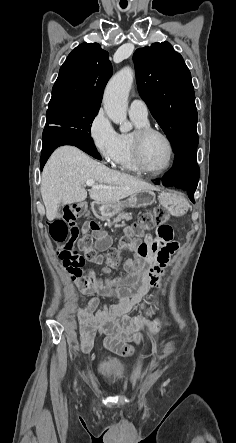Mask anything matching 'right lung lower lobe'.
<instances>
[{
	"instance_id": "1",
	"label": "right lung lower lobe",
	"mask_w": 236,
	"mask_h": 443,
	"mask_svg": "<svg viewBox=\"0 0 236 443\" xmlns=\"http://www.w3.org/2000/svg\"><path fill=\"white\" fill-rule=\"evenodd\" d=\"M66 130L67 128L51 127V129H45L43 131V146L40 158L41 170L51 153L61 145H74L94 158L102 159L92 139L69 133Z\"/></svg>"
}]
</instances>
